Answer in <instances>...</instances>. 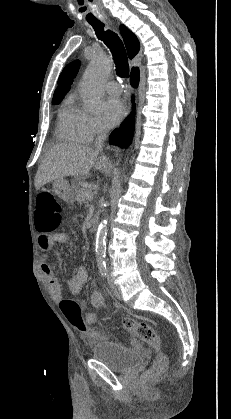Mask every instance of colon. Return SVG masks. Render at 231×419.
I'll list each match as a JSON object with an SVG mask.
<instances>
[{"instance_id":"5ec220e1","label":"colon","mask_w":231,"mask_h":419,"mask_svg":"<svg viewBox=\"0 0 231 419\" xmlns=\"http://www.w3.org/2000/svg\"><path fill=\"white\" fill-rule=\"evenodd\" d=\"M62 217V207L55 194L51 192L40 193L37 197L35 211L36 229L44 234L52 233L59 228ZM60 308L68 322L76 330L83 333L87 341L96 339V331L88 327L82 315L81 307L76 301L64 299L60 302ZM122 325L156 352L155 361L148 374L154 376L161 373L166 368L167 358L161 352V340L154 328L146 322L137 321L131 317H125L122 320Z\"/></svg>"}]
</instances>
